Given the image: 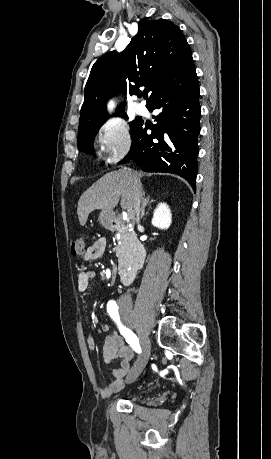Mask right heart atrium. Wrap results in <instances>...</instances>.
Masks as SVG:
<instances>
[{
	"mask_svg": "<svg viewBox=\"0 0 271 459\" xmlns=\"http://www.w3.org/2000/svg\"><path fill=\"white\" fill-rule=\"evenodd\" d=\"M99 158L106 164H114L125 157L131 147L129 127L119 120H107L99 124L94 135Z\"/></svg>",
	"mask_w": 271,
	"mask_h": 459,
	"instance_id": "obj_1",
	"label": "right heart atrium"
}]
</instances>
